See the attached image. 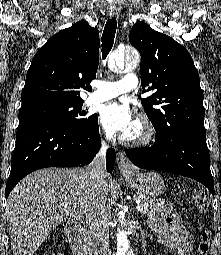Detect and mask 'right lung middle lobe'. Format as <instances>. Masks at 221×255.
<instances>
[{"label":"right lung middle lobe","mask_w":221,"mask_h":255,"mask_svg":"<svg viewBox=\"0 0 221 255\" xmlns=\"http://www.w3.org/2000/svg\"><path fill=\"white\" fill-rule=\"evenodd\" d=\"M83 101L75 103H44L20 109L19 118H41L55 121L70 128H83L88 126L95 115L84 117L81 111Z\"/></svg>","instance_id":"dd1d6c3e"}]
</instances>
